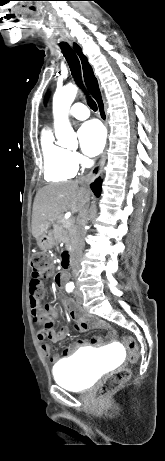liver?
Wrapping results in <instances>:
<instances>
[{
	"mask_svg": "<svg viewBox=\"0 0 165 461\" xmlns=\"http://www.w3.org/2000/svg\"><path fill=\"white\" fill-rule=\"evenodd\" d=\"M90 195V190L80 187L78 181L49 184L40 189L33 203V237L38 239L49 229L50 222L60 218L64 212L80 213Z\"/></svg>",
	"mask_w": 165,
	"mask_h": 461,
	"instance_id": "liver-1",
	"label": "liver"
}]
</instances>
